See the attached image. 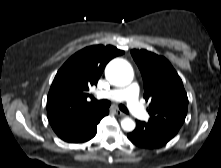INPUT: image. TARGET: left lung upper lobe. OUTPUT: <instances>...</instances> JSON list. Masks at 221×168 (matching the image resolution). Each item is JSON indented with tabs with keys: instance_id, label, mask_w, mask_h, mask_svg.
I'll return each instance as SVG.
<instances>
[{
	"instance_id": "left-lung-upper-lobe-1",
	"label": "left lung upper lobe",
	"mask_w": 221,
	"mask_h": 168,
	"mask_svg": "<svg viewBox=\"0 0 221 168\" xmlns=\"http://www.w3.org/2000/svg\"><path fill=\"white\" fill-rule=\"evenodd\" d=\"M131 55L143 78L144 98L150 101L148 122L173 133L185 121L188 98L183 83L170 62L147 50H132Z\"/></svg>"
}]
</instances>
